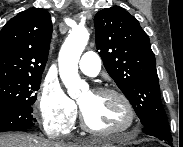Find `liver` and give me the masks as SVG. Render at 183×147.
Returning <instances> with one entry per match:
<instances>
[{
	"mask_svg": "<svg viewBox=\"0 0 183 147\" xmlns=\"http://www.w3.org/2000/svg\"><path fill=\"white\" fill-rule=\"evenodd\" d=\"M94 141L82 144H66L53 142L31 134L7 133L0 134V147H93Z\"/></svg>",
	"mask_w": 183,
	"mask_h": 147,
	"instance_id": "liver-1",
	"label": "liver"
}]
</instances>
